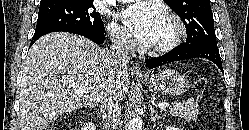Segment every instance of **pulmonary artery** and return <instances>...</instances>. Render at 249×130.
<instances>
[{
  "label": "pulmonary artery",
  "mask_w": 249,
  "mask_h": 130,
  "mask_svg": "<svg viewBox=\"0 0 249 130\" xmlns=\"http://www.w3.org/2000/svg\"><path fill=\"white\" fill-rule=\"evenodd\" d=\"M119 1H122V2H127V1H132V0H119Z\"/></svg>",
  "instance_id": "obj_1"
}]
</instances>
